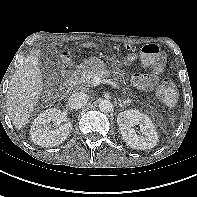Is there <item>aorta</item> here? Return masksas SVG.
Wrapping results in <instances>:
<instances>
[{"mask_svg": "<svg viewBox=\"0 0 197 197\" xmlns=\"http://www.w3.org/2000/svg\"><path fill=\"white\" fill-rule=\"evenodd\" d=\"M99 110L103 113H110L113 110V104L110 100H102L100 101Z\"/></svg>", "mask_w": 197, "mask_h": 197, "instance_id": "obj_1", "label": "aorta"}]
</instances>
